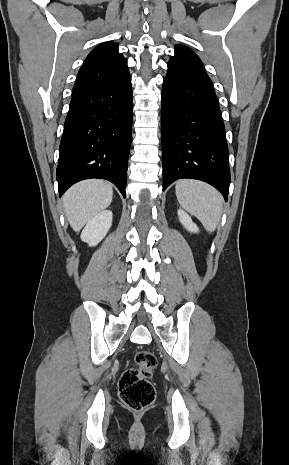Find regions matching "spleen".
<instances>
[{"mask_svg": "<svg viewBox=\"0 0 289 465\" xmlns=\"http://www.w3.org/2000/svg\"><path fill=\"white\" fill-rule=\"evenodd\" d=\"M175 192L180 206L214 232L222 215V195L209 184L192 179L178 180Z\"/></svg>", "mask_w": 289, "mask_h": 465, "instance_id": "spleen-1", "label": "spleen"}]
</instances>
